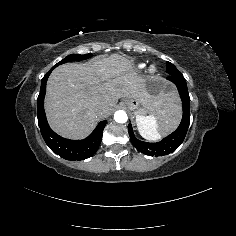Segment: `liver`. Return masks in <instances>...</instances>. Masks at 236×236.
I'll use <instances>...</instances> for the list:
<instances>
[{"instance_id": "liver-1", "label": "liver", "mask_w": 236, "mask_h": 236, "mask_svg": "<svg viewBox=\"0 0 236 236\" xmlns=\"http://www.w3.org/2000/svg\"><path fill=\"white\" fill-rule=\"evenodd\" d=\"M143 82L133 62L118 53L103 59L93 57L84 63L62 64L46 82L47 123L59 136L79 141L93 132L98 120L113 113L119 98L139 99L150 114L159 116L170 107L182 109L179 100H174L167 109H159L145 96Z\"/></svg>"}]
</instances>
